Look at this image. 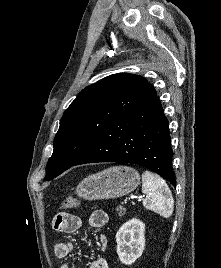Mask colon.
I'll return each instance as SVG.
<instances>
[{"mask_svg":"<svg viewBox=\"0 0 221 268\" xmlns=\"http://www.w3.org/2000/svg\"><path fill=\"white\" fill-rule=\"evenodd\" d=\"M80 204V200L75 197H66L62 201L61 207L63 209H74Z\"/></svg>","mask_w":221,"mask_h":268,"instance_id":"colon-1","label":"colon"}]
</instances>
